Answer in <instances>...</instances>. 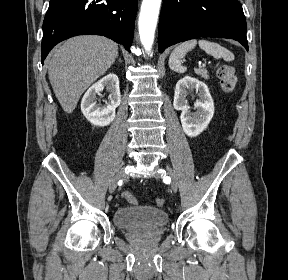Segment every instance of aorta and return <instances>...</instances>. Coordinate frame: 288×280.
I'll use <instances>...</instances> for the list:
<instances>
[{"instance_id": "aorta-1", "label": "aorta", "mask_w": 288, "mask_h": 280, "mask_svg": "<svg viewBox=\"0 0 288 280\" xmlns=\"http://www.w3.org/2000/svg\"><path fill=\"white\" fill-rule=\"evenodd\" d=\"M161 6V0H143L139 15L140 41L146 51H150L154 42V34Z\"/></svg>"}]
</instances>
